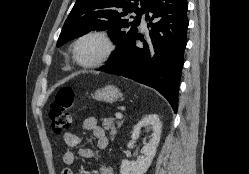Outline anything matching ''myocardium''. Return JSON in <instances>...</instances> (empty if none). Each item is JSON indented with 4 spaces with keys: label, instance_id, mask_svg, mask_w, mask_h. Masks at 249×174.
Listing matches in <instances>:
<instances>
[{
    "label": "myocardium",
    "instance_id": "myocardium-1",
    "mask_svg": "<svg viewBox=\"0 0 249 174\" xmlns=\"http://www.w3.org/2000/svg\"><path fill=\"white\" fill-rule=\"evenodd\" d=\"M90 37H97V38L101 39L105 44V51L102 54V56L100 58H98L97 60H95L93 62L85 63L79 59L77 50H78L79 44L83 40L90 38ZM115 49H116V45H115L111 35L106 30L93 29V30H89V31L85 32L84 34H82L80 37H78L76 39V41L73 44L72 54H73L74 61L79 66H81L83 68H96V67H99V66L103 65L104 63H106L112 57Z\"/></svg>",
    "mask_w": 249,
    "mask_h": 174
}]
</instances>
